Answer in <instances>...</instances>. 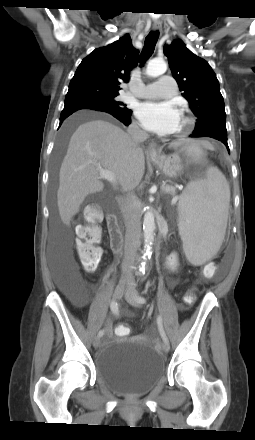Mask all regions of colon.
<instances>
[{
    "mask_svg": "<svg viewBox=\"0 0 255 440\" xmlns=\"http://www.w3.org/2000/svg\"><path fill=\"white\" fill-rule=\"evenodd\" d=\"M85 223L77 228V254L83 268L88 270L95 269L101 259V250L97 246L100 242L102 233L98 226L101 219L99 210L95 207H89L84 213ZM196 299L193 292L188 293L184 300L186 304H192ZM119 336H128L130 328L128 325H120L116 328Z\"/></svg>",
    "mask_w": 255,
    "mask_h": 440,
    "instance_id": "obj_1",
    "label": "colon"
}]
</instances>
